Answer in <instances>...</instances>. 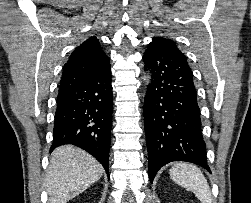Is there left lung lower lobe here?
I'll return each mask as SVG.
<instances>
[{
    "instance_id": "0a47b994",
    "label": "left lung lower lobe",
    "mask_w": 251,
    "mask_h": 203,
    "mask_svg": "<svg viewBox=\"0 0 251 203\" xmlns=\"http://www.w3.org/2000/svg\"><path fill=\"white\" fill-rule=\"evenodd\" d=\"M143 60L152 78L144 101L150 181L172 161L209 170L193 73L184 54L170 42L152 40Z\"/></svg>"
}]
</instances>
